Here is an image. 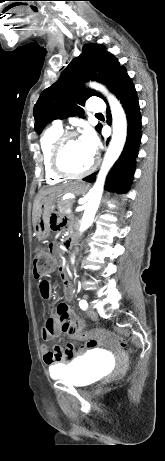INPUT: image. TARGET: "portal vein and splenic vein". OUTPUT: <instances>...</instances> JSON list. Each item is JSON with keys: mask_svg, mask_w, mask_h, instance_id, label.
<instances>
[{"mask_svg": "<svg viewBox=\"0 0 165 461\" xmlns=\"http://www.w3.org/2000/svg\"><path fill=\"white\" fill-rule=\"evenodd\" d=\"M66 214H71L72 213V209L71 208H68L66 211H65Z\"/></svg>", "mask_w": 165, "mask_h": 461, "instance_id": "obj_1", "label": "portal vein and splenic vein"}]
</instances>
